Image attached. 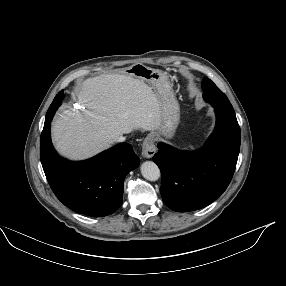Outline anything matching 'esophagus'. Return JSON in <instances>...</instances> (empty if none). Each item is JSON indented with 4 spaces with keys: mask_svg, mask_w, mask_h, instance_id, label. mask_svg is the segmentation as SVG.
I'll use <instances>...</instances> for the list:
<instances>
[{
    "mask_svg": "<svg viewBox=\"0 0 286 286\" xmlns=\"http://www.w3.org/2000/svg\"><path fill=\"white\" fill-rule=\"evenodd\" d=\"M156 153V146L152 136H147L142 143L141 154L144 158H152Z\"/></svg>",
    "mask_w": 286,
    "mask_h": 286,
    "instance_id": "34e87169",
    "label": "esophagus"
}]
</instances>
